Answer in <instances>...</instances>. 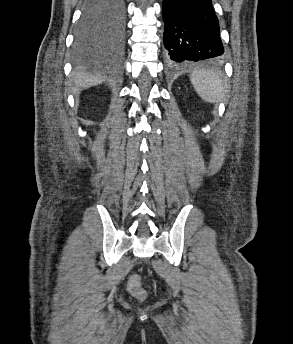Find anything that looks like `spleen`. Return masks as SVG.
<instances>
[{"instance_id": "obj_1", "label": "spleen", "mask_w": 293, "mask_h": 344, "mask_svg": "<svg viewBox=\"0 0 293 344\" xmlns=\"http://www.w3.org/2000/svg\"><path fill=\"white\" fill-rule=\"evenodd\" d=\"M198 95L206 102H218L223 93V82L219 73L212 70L194 71L190 77Z\"/></svg>"}]
</instances>
